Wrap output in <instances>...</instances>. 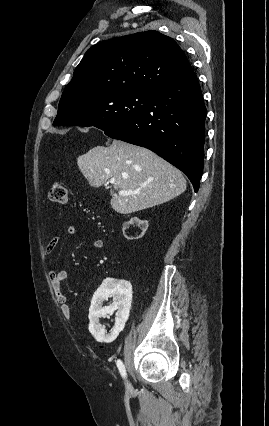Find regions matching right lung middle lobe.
<instances>
[{
    "mask_svg": "<svg viewBox=\"0 0 269 426\" xmlns=\"http://www.w3.org/2000/svg\"><path fill=\"white\" fill-rule=\"evenodd\" d=\"M150 92H111L92 98L62 97L53 125L95 126L101 130L123 124L147 105Z\"/></svg>",
    "mask_w": 269,
    "mask_h": 426,
    "instance_id": "dd1d6c3e",
    "label": "right lung middle lobe"
}]
</instances>
